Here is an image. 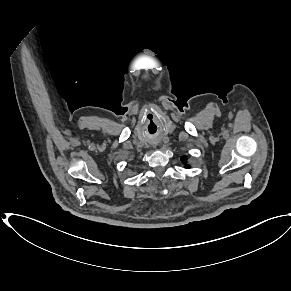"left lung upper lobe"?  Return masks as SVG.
<instances>
[{
    "label": "left lung upper lobe",
    "instance_id": "left-lung-upper-lobe-1",
    "mask_svg": "<svg viewBox=\"0 0 291 291\" xmlns=\"http://www.w3.org/2000/svg\"><path fill=\"white\" fill-rule=\"evenodd\" d=\"M182 160H184V163H185V161H186L185 157H182ZM187 167H189V166H187Z\"/></svg>",
    "mask_w": 291,
    "mask_h": 291
}]
</instances>
